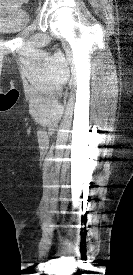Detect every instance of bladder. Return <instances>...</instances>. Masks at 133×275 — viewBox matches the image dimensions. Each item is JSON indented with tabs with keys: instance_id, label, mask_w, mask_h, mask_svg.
Returning <instances> with one entry per match:
<instances>
[{
	"instance_id": "bladder-1",
	"label": "bladder",
	"mask_w": 133,
	"mask_h": 275,
	"mask_svg": "<svg viewBox=\"0 0 133 275\" xmlns=\"http://www.w3.org/2000/svg\"><path fill=\"white\" fill-rule=\"evenodd\" d=\"M1 1L0 32L22 31L30 22L29 11L20 6L2 4Z\"/></svg>"
}]
</instances>
